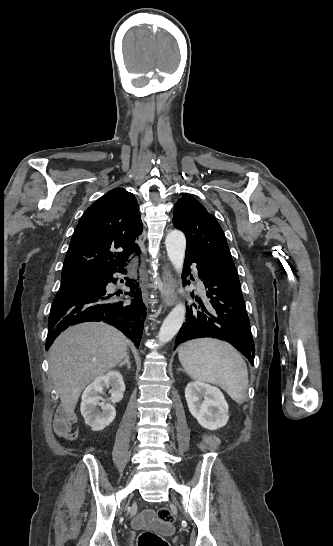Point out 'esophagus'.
<instances>
[{
	"label": "esophagus",
	"instance_id": "1",
	"mask_svg": "<svg viewBox=\"0 0 333 546\" xmlns=\"http://www.w3.org/2000/svg\"><path fill=\"white\" fill-rule=\"evenodd\" d=\"M162 281H163V299L166 306H172L176 300L175 286L176 281L172 275L171 269L168 264H164L162 267Z\"/></svg>",
	"mask_w": 333,
	"mask_h": 546
}]
</instances>
